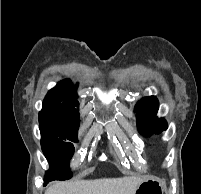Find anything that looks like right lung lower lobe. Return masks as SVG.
<instances>
[{"label":"right lung lower lobe","instance_id":"right-lung-lower-lobe-1","mask_svg":"<svg viewBox=\"0 0 201 194\" xmlns=\"http://www.w3.org/2000/svg\"><path fill=\"white\" fill-rule=\"evenodd\" d=\"M59 156H60V154H58V153H52L51 155L46 156V158L49 162L50 160H54V159L58 158ZM49 181H50V178L45 177L44 185H46Z\"/></svg>","mask_w":201,"mask_h":194}]
</instances>
